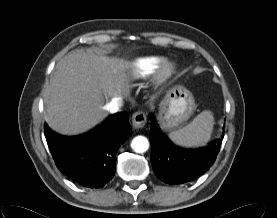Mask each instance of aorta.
<instances>
[{
  "label": "aorta",
  "instance_id": "1",
  "mask_svg": "<svg viewBox=\"0 0 277 218\" xmlns=\"http://www.w3.org/2000/svg\"><path fill=\"white\" fill-rule=\"evenodd\" d=\"M131 147L136 153H144L149 148V142L144 136H136L131 142Z\"/></svg>",
  "mask_w": 277,
  "mask_h": 218
}]
</instances>
